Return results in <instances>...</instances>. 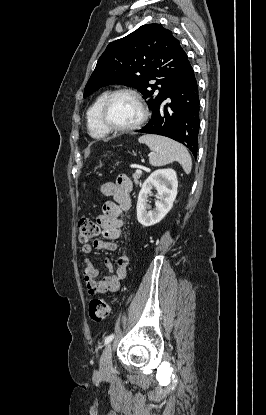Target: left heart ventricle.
<instances>
[{
  "label": "left heart ventricle",
  "instance_id": "b2bd125f",
  "mask_svg": "<svg viewBox=\"0 0 266 415\" xmlns=\"http://www.w3.org/2000/svg\"><path fill=\"white\" fill-rule=\"evenodd\" d=\"M108 115L113 125L128 127L139 120L141 117V109L132 96L121 94L111 102Z\"/></svg>",
  "mask_w": 266,
  "mask_h": 415
}]
</instances>
